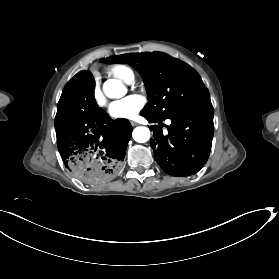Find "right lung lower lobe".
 I'll use <instances>...</instances> for the list:
<instances>
[{"instance_id": "right-lung-lower-lobe-1", "label": "right lung lower lobe", "mask_w": 279, "mask_h": 279, "mask_svg": "<svg viewBox=\"0 0 279 279\" xmlns=\"http://www.w3.org/2000/svg\"><path fill=\"white\" fill-rule=\"evenodd\" d=\"M90 71L76 74L57 105V146L65 167L81 182L100 185L114 180L122 167L132 126L112 120L93 98Z\"/></svg>"}]
</instances>
